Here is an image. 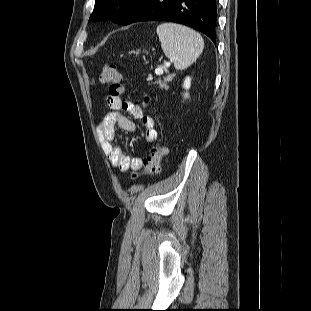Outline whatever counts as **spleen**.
Returning a JSON list of instances; mask_svg holds the SVG:
<instances>
[{
	"instance_id": "obj_1",
	"label": "spleen",
	"mask_w": 311,
	"mask_h": 311,
	"mask_svg": "<svg viewBox=\"0 0 311 311\" xmlns=\"http://www.w3.org/2000/svg\"><path fill=\"white\" fill-rule=\"evenodd\" d=\"M157 34L163 52L173 60L177 70L189 67L203 51L204 41L201 35L189 27L163 23L157 27Z\"/></svg>"
}]
</instances>
